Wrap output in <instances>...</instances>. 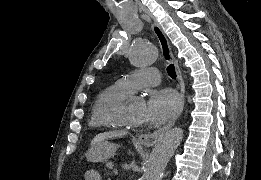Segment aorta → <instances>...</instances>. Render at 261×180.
<instances>
[{"instance_id": "1", "label": "aorta", "mask_w": 261, "mask_h": 180, "mask_svg": "<svg viewBox=\"0 0 261 180\" xmlns=\"http://www.w3.org/2000/svg\"><path fill=\"white\" fill-rule=\"evenodd\" d=\"M157 48L148 42L135 41L130 49L129 60L136 67H145L157 60ZM183 138V131L177 127L169 130L152 150L144 168L142 180H161L163 172Z\"/></svg>"}]
</instances>
